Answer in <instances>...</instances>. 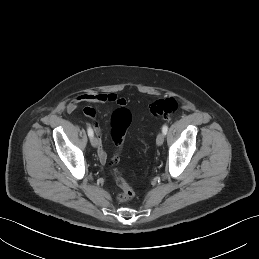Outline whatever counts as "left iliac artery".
Listing matches in <instances>:
<instances>
[{
    "instance_id": "obj_1",
    "label": "left iliac artery",
    "mask_w": 259,
    "mask_h": 259,
    "mask_svg": "<svg viewBox=\"0 0 259 259\" xmlns=\"http://www.w3.org/2000/svg\"><path fill=\"white\" fill-rule=\"evenodd\" d=\"M167 131H168V126H167V125H164V126L162 127V132H163V134L166 135V134H167Z\"/></svg>"
}]
</instances>
